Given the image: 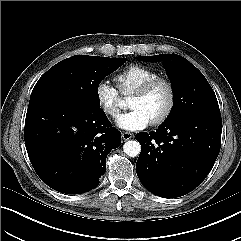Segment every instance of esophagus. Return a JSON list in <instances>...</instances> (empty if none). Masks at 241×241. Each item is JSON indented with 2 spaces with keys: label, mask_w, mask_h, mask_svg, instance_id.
Instances as JSON below:
<instances>
[{
  "label": "esophagus",
  "mask_w": 241,
  "mask_h": 241,
  "mask_svg": "<svg viewBox=\"0 0 241 241\" xmlns=\"http://www.w3.org/2000/svg\"><path fill=\"white\" fill-rule=\"evenodd\" d=\"M133 138V134L130 132H122V139L127 141Z\"/></svg>",
  "instance_id": "obj_1"
}]
</instances>
